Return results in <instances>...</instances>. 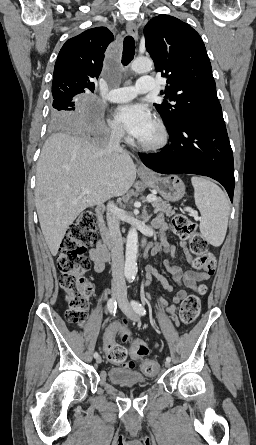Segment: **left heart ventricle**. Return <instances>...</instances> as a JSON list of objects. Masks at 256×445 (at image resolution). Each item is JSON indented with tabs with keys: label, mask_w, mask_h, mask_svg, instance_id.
Segmentation results:
<instances>
[{
	"label": "left heart ventricle",
	"mask_w": 256,
	"mask_h": 445,
	"mask_svg": "<svg viewBox=\"0 0 256 445\" xmlns=\"http://www.w3.org/2000/svg\"><path fill=\"white\" fill-rule=\"evenodd\" d=\"M156 137H157V131L154 126L152 131L146 137H144L141 141H146V142L153 141Z\"/></svg>",
	"instance_id": "obj_1"
}]
</instances>
